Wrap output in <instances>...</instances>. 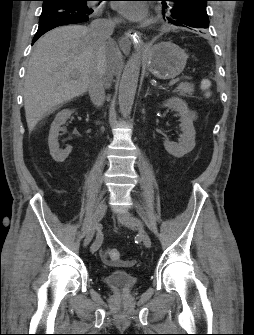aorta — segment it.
<instances>
[{"label": "aorta", "mask_w": 254, "mask_h": 335, "mask_svg": "<svg viewBox=\"0 0 254 335\" xmlns=\"http://www.w3.org/2000/svg\"><path fill=\"white\" fill-rule=\"evenodd\" d=\"M140 66L141 57L139 50H137L129 58L119 84L118 103L123 118H129L131 114L138 85Z\"/></svg>", "instance_id": "1"}]
</instances>
